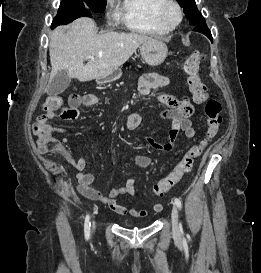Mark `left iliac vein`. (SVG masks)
I'll return each instance as SVG.
<instances>
[{
    "mask_svg": "<svg viewBox=\"0 0 261 273\" xmlns=\"http://www.w3.org/2000/svg\"><path fill=\"white\" fill-rule=\"evenodd\" d=\"M171 217H172L173 233L174 235L179 236L181 234V227L178 222V211L175 206H173L172 208Z\"/></svg>",
    "mask_w": 261,
    "mask_h": 273,
    "instance_id": "4c4485c4",
    "label": "left iliac vein"
}]
</instances>
